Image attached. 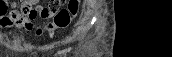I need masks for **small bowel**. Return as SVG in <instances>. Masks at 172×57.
<instances>
[{
    "label": "small bowel",
    "mask_w": 172,
    "mask_h": 57,
    "mask_svg": "<svg viewBox=\"0 0 172 57\" xmlns=\"http://www.w3.org/2000/svg\"><path fill=\"white\" fill-rule=\"evenodd\" d=\"M37 3L38 1L36 0L18 2L0 0V28L30 31L33 28V20L38 17L46 19L53 15V12L43 14L42 11L45 10L46 7L35 8ZM25 4L36 9L37 14L34 17H30L21 12V9ZM37 34H46V27L39 28Z\"/></svg>",
    "instance_id": "small-bowel-1"
}]
</instances>
